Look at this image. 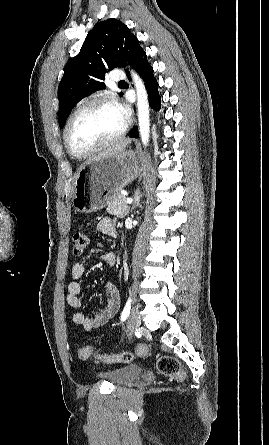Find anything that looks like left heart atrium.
Listing matches in <instances>:
<instances>
[{"mask_svg":"<svg viewBox=\"0 0 269 445\" xmlns=\"http://www.w3.org/2000/svg\"><path fill=\"white\" fill-rule=\"evenodd\" d=\"M117 109L120 111V113L124 116V118L128 117V109L122 105V104H116Z\"/></svg>","mask_w":269,"mask_h":445,"instance_id":"obj_1","label":"left heart atrium"}]
</instances>
